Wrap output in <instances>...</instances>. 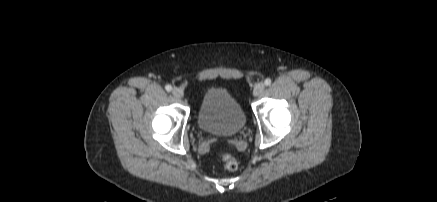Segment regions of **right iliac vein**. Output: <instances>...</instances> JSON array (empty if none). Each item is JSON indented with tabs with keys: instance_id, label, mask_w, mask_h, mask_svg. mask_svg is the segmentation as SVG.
<instances>
[{
	"instance_id": "63e3f726",
	"label": "right iliac vein",
	"mask_w": 437,
	"mask_h": 202,
	"mask_svg": "<svg viewBox=\"0 0 437 202\" xmlns=\"http://www.w3.org/2000/svg\"><path fill=\"white\" fill-rule=\"evenodd\" d=\"M172 93H173V95H174L176 98H183V96H184V92H183V90L180 89V88H177V87H175V88L172 90Z\"/></svg>"
}]
</instances>
